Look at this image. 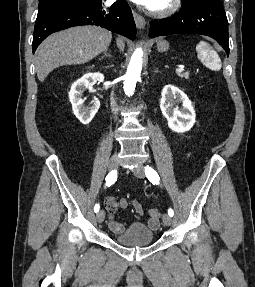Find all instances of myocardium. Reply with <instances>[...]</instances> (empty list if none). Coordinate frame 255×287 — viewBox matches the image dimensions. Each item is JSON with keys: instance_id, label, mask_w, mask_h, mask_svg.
<instances>
[{"instance_id": "myocardium-1", "label": "myocardium", "mask_w": 255, "mask_h": 287, "mask_svg": "<svg viewBox=\"0 0 255 287\" xmlns=\"http://www.w3.org/2000/svg\"><path fill=\"white\" fill-rule=\"evenodd\" d=\"M145 33H149V32H145ZM164 33V32H162ZM141 39H144V38H141ZM160 39H167V38H160ZM166 48H171V47H166Z\"/></svg>"}]
</instances>
